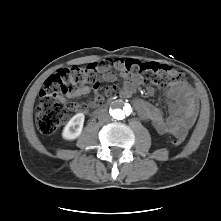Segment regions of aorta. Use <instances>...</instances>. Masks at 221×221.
I'll return each mask as SVG.
<instances>
[{
    "label": "aorta",
    "mask_w": 221,
    "mask_h": 221,
    "mask_svg": "<svg viewBox=\"0 0 221 221\" xmlns=\"http://www.w3.org/2000/svg\"><path fill=\"white\" fill-rule=\"evenodd\" d=\"M111 115L114 119L122 120L125 118L126 113L124 111L123 106L119 105L117 107H114L113 110H111Z\"/></svg>",
    "instance_id": "762f6f07"
}]
</instances>
